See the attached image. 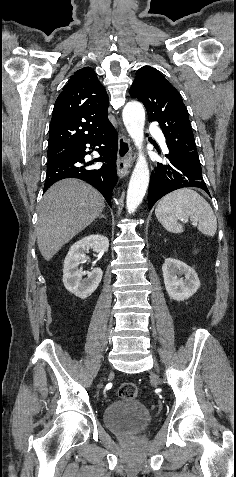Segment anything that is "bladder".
I'll return each mask as SVG.
<instances>
[{"label": "bladder", "mask_w": 236, "mask_h": 477, "mask_svg": "<svg viewBox=\"0 0 236 477\" xmlns=\"http://www.w3.org/2000/svg\"><path fill=\"white\" fill-rule=\"evenodd\" d=\"M148 407L135 398H120L107 404L103 410L106 428L117 435L144 432L152 422Z\"/></svg>", "instance_id": "1"}]
</instances>
